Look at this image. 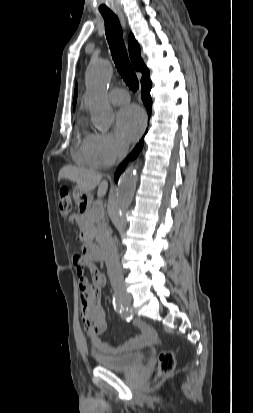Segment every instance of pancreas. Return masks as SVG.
I'll return each mask as SVG.
<instances>
[{"mask_svg":"<svg viewBox=\"0 0 253 413\" xmlns=\"http://www.w3.org/2000/svg\"><path fill=\"white\" fill-rule=\"evenodd\" d=\"M103 218V211L100 207L92 206L86 210L79 218L78 226L84 235L86 244H92L97 232V225Z\"/></svg>","mask_w":253,"mask_h":413,"instance_id":"obj_1","label":"pancreas"}]
</instances>
